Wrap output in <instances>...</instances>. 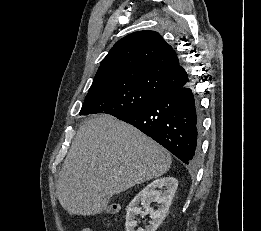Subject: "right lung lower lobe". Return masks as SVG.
<instances>
[{
  "label": "right lung lower lobe",
  "instance_id": "right-lung-lower-lobe-1",
  "mask_svg": "<svg viewBox=\"0 0 261 231\" xmlns=\"http://www.w3.org/2000/svg\"><path fill=\"white\" fill-rule=\"evenodd\" d=\"M118 119L141 130L183 163H196L200 152L201 107L197 92L189 84Z\"/></svg>",
  "mask_w": 261,
  "mask_h": 231
}]
</instances>
